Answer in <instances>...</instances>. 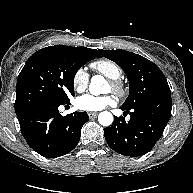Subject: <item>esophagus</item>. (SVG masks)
<instances>
[{"label": "esophagus", "mask_w": 193, "mask_h": 193, "mask_svg": "<svg viewBox=\"0 0 193 193\" xmlns=\"http://www.w3.org/2000/svg\"><path fill=\"white\" fill-rule=\"evenodd\" d=\"M98 115V112H89L88 116L90 119L95 118Z\"/></svg>", "instance_id": "1"}]
</instances>
